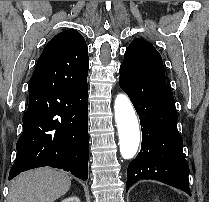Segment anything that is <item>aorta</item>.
Masks as SVG:
<instances>
[{
  "mask_svg": "<svg viewBox=\"0 0 209 202\" xmlns=\"http://www.w3.org/2000/svg\"><path fill=\"white\" fill-rule=\"evenodd\" d=\"M114 111L119 133L120 153L124 159H131L139 147L140 130L135 110L125 94L117 95Z\"/></svg>",
  "mask_w": 209,
  "mask_h": 202,
  "instance_id": "aorta-1",
  "label": "aorta"
}]
</instances>
